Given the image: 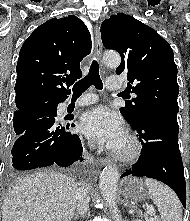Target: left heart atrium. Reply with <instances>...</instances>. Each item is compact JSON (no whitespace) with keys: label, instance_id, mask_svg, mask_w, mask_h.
I'll use <instances>...</instances> for the list:
<instances>
[{"label":"left heart atrium","instance_id":"1","mask_svg":"<svg viewBox=\"0 0 190 221\" xmlns=\"http://www.w3.org/2000/svg\"><path fill=\"white\" fill-rule=\"evenodd\" d=\"M80 129L88 138L112 150L125 136L121 117L104 106L86 112L81 117Z\"/></svg>","mask_w":190,"mask_h":221}]
</instances>
